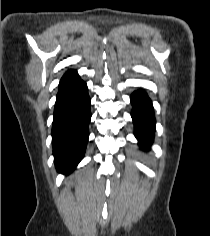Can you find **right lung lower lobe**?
I'll return each mask as SVG.
<instances>
[{"label": "right lung lower lobe", "instance_id": "right-lung-lower-lobe-1", "mask_svg": "<svg viewBox=\"0 0 210 236\" xmlns=\"http://www.w3.org/2000/svg\"><path fill=\"white\" fill-rule=\"evenodd\" d=\"M90 119L87 85L75 70H69L59 84L52 125L54 161L59 172L70 173L82 159Z\"/></svg>", "mask_w": 210, "mask_h": 236}]
</instances>
